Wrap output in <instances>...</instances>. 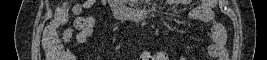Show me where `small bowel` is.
Segmentation results:
<instances>
[{
  "mask_svg": "<svg viewBox=\"0 0 267 60\" xmlns=\"http://www.w3.org/2000/svg\"><path fill=\"white\" fill-rule=\"evenodd\" d=\"M97 1L88 0L82 4H70L69 8L75 13H82L83 9H89ZM184 1H172V3H178ZM217 0H202L199 4L189 13L188 17L190 20H198L206 22L211 25L210 40L211 43L207 48V53L209 56L217 60H226L227 51L226 45V30L224 25L217 20L213 12L214 7L217 5ZM81 22L82 26L80 28L75 27L76 22ZM96 21L93 16H79L75 19L73 25L64 31V40L70 41L74 30H77L76 40L78 43H86L90 36L92 35L93 29L95 27ZM57 24L53 21L51 27L47 31L55 30ZM140 60H169L166 52L159 51L156 53L144 52L141 54ZM185 54L180 56V60H186Z\"/></svg>",
  "mask_w": 267,
  "mask_h": 60,
  "instance_id": "small-bowel-1",
  "label": "small bowel"
}]
</instances>
